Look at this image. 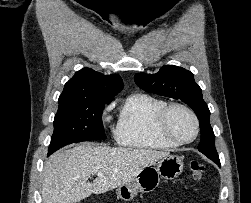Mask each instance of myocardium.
<instances>
[{
	"label": "myocardium",
	"mask_w": 251,
	"mask_h": 203,
	"mask_svg": "<svg viewBox=\"0 0 251 203\" xmlns=\"http://www.w3.org/2000/svg\"><path fill=\"white\" fill-rule=\"evenodd\" d=\"M175 108H180L186 111L193 119L194 124H195V131L194 134L192 135L191 138L183 140V139H178L175 136H173L169 130H168V118L171 113V111ZM155 130L156 133L163 138L164 140L175 144V145H186L190 144L193 141L196 140V138L199 135L200 132V122L199 118L196 115V113L187 105L179 102H173L170 104H167L164 106L157 114L156 120H155Z\"/></svg>",
	"instance_id": "obj_1"
}]
</instances>
